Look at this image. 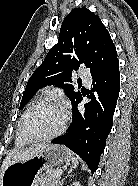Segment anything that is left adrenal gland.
Segmentation results:
<instances>
[{
    "mask_svg": "<svg viewBox=\"0 0 138 186\" xmlns=\"http://www.w3.org/2000/svg\"><path fill=\"white\" fill-rule=\"evenodd\" d=\"M71 171H72V170H70V171L68 172V175H67L66 177H64V178L60 181L59 186H63L64 180H65L68 176H71V175H70Z\"/></svg>",
    "mask_w": 138,
    "mask_h": 186,
    "instance_id": "1",
    "label": "left adrenal gland"
}]
</instances>
